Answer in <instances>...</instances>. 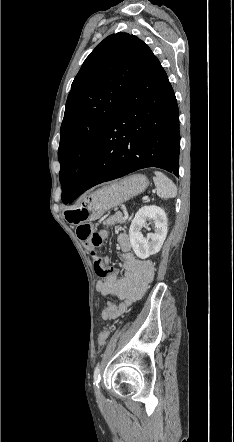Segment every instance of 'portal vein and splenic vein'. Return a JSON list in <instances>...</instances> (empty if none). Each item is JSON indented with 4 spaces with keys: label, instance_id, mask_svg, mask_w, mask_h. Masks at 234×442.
Listing matches in <instances>:
<instances>
[{
    "label": "portal vein and splenic vein",
    "instance_id": "portal-vein-and-splenic-vein-1",
    "mask_svg": "<svg viewBox=\"0 0 234 442\" xmlns=\"http://www.w3.org/2000/svg\"><path fill=\"white\" fill-rule=\"evenodd\" d=\"M153 192H155V190H154ZM147 199H148V196H144V197L142 198V200H147Z\"/></svg>",
    "mask_w": 234,
    "mask_h": 442
}]
</instances>
